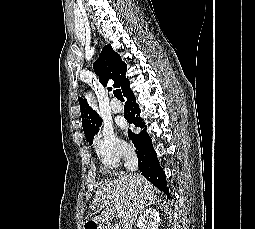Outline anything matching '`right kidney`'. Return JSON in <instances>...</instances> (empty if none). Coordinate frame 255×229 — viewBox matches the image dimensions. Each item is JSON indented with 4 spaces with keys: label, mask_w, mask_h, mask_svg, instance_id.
I'll list each match as a JSON object with an SVG mask.
<instances>
[{
    "label": "right kidney",
    "mask_w": 255,
    "mask_h": 229,
    "mask_svg": "<svg viewBox=\"0 0 255 229\" xmlns=\"http://www.w3.org/2000/svg\"><path fill=\"white\" fill-rule=\"evenodd\" d=\"M160 222V213L154 208H149L137 220L139 229H157Z\"/></svg>",
    "instance_id": "1"
}]
</instances>
